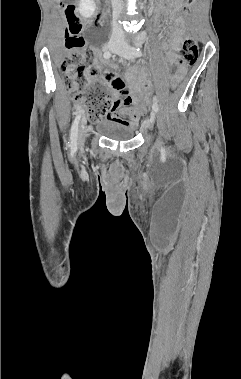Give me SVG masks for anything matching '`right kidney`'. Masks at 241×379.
Listing matches in <instances>:
<instances>
[{"mask_svg":"<svg viewBox=\"0 0 241 379\" xmlns=\"http://www.w3.org/2000/svg\"><path fill=\"white\" fill-rule=\"evenodd\" d=\"M96 9L94 0H80L78 11L84 18H90Z\"/></svg>","mask_w":241,"mask_h":379,"instance_id":"right-kidney-1","label":"right kidney"}]
</instances>
